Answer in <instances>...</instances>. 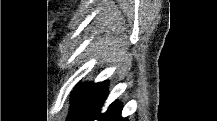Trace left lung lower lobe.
<instances>
[{
	"label": "left lung lower lobe",
	"mask_w": 217,
	"mask_h": 121,
	"mask_svg": "<svg viewBox=\"0 0 217 121\" xmlns=\"http://www.w3.org/2000/svg\"><path fill=\"white\" fill-rule=\"evenodd\" d=\"M108 95L107 82L92 84L89 95L81 114L75 121H125L121 118V106L114 102L108 110L101 114V107Z\"/></svg>",
	"instance_id": "0a47b994"
}]
</instances>
